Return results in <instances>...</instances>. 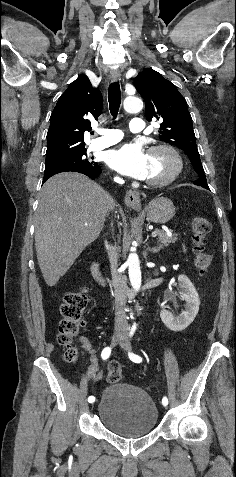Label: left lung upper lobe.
Returning <instances> with one entry per match:
<instances>
[{
  "label": "left lung upper lobe",
  "mask_w": 236,
  "mask_h": 477,
  "mask_svg": "<svg viewBox=\"0 0 236 477\" xmlns=\"http://www.w3.org/2000/svg\"><path fill=\"white\" fill-rule=\"evenodd\" d=\"M134 85L145 101L146 119L161 120L159 134L163 141L177 146L189 157L199 178L193 183L209 188L200 160L192 118L185 98L174 84L157 71L147 68L134 78Z\"/></svg>",
  "instance_id": "obj_1"
}]
</instances>
